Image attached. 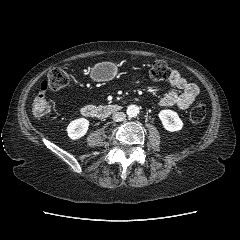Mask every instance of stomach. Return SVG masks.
Returning <instances> with one entry per match:
<instances>
[{
    "label": "stomach",
    "instance_id": "stomach-1",
    "mask_svg": "<svg viewBox=\"0 0 240 240\" xmlns=\"http://www.w3.org/2000/svg\"><path fill=\"white\" fill-rule=\"evenodd\" d=\"M116 65L110 62H102L92 69L91 76L96 81H109L116 75Z\"/></svg>",
    "mask_w": 240,
    "mask_h": 240
}]
</instances>
